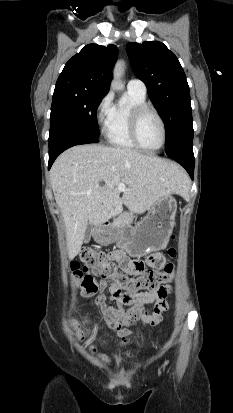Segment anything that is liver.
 <instances>
[{"instance_id": "1", "label": "liver", "mask_w": 233, "mask_h": 413, "mask_svg": "<svg viewBox=\"0 0 233 413\" xmlns=\"http://www.w3.org/2000/svg\"><path fill=\"white\" fill-rule=\"evenodd\" d=\"M50 176L66 227L70 259L80 252L89 224L101 226L119 214L123 204L142 214L163 197L182 194L187 182L177 164L129 148L99 144L66 150L54 162ZM120 183L127 189L122 198L117 189Z\"/></svg>"}]
</instances>
